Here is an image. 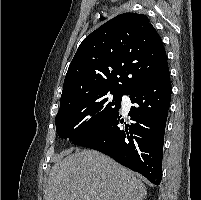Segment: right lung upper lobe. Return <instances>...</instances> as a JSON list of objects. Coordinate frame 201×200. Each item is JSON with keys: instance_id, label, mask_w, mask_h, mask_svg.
Instances as JSON below:
<instances>
[{"instance_id": "right-lung-upper-lobe-1", "label": "right lung upper lobe", "mask_w": 201, "mask_h": 200, "mask_svg": "<svg viewBox=\"0 0 201 200\" xmlns=\"http://www.w3.org/2000/svg\"><path fill=\"white\" fill-rule=\"evenodd\" d=\"M167 71L161 37L147 16L124 13L80 44L69 65L60 103L97 91L128 95Z\"/></svg>"}]
</instances>
